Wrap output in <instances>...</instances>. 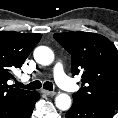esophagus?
Instances as JSON below:
<instances>
[{"mask_svg":"<svg viewBox=\"0 0 118 118\" xmlns=\"http://www.w3.org/2000/svg\"><path fill=\"white\" fill-rule=\"evenodd\" d=\"M42 92L47 96H54L56 94L54 91L42 90Z\"/></svg>","mask_w":118,"mask_h":118,"instance_id":"1","label":"esophagus"}]
</instances>
